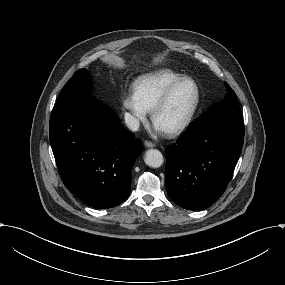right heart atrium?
<instances>
[{"label": "right heart atrium", "instance_id": "d8ad5b80", "mask_svg": "<svg viewBox=\"0 0 285 285\" xmlns=\"http://www.w3.org/2000/svg\"><path fill=\"white\" fill-rule=\"evenodd\" d=\"M121 105L128 112V121L131 126L137 127L147 122L150 110L139 98L135 87H130L123 94Z\"/></svg>", "mask_w": 285, "mask_h": 285}]
</instances>
